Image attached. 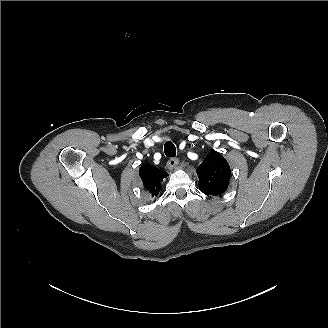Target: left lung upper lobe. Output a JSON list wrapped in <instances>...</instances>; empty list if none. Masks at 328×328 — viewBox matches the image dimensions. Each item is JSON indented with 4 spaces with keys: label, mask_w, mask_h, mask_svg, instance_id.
Segmentation results:
<instances>
[{
    "label": "left lung upper lobe",
    "mask_w": 328,
    "mask_h": 328,
    "mask_svg": "<svg viewBox=\"0 0 328 328\" xmlns=\"http://www.w3.org/2000/svg\"><path fill=\"white\" fill-rule=\"evenodd\" d=\"M199 188L206 195L218 196L226 191L230 181V166L218 152L211 151L197 168Z\"/></svg>",
    "instance_id": "5c2ea615"
}]
</instances>
